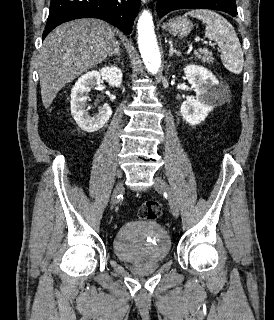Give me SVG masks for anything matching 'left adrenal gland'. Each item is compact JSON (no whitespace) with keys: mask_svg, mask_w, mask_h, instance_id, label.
Returning <instances> with one entry per match:
<instances>
[{"mask_svg":"<svg viewBox=\"0 0 274 320\" xmlns=\"http://www.w3.org/2000/svg\"><path fill=\"white\" fill-rule=\"evenodd\" d=\"M169 46V56H174V54H176V56H181L180 52H177L176 48H173L172 42H169Z\"/></svg>","mask_w":274,"mask_h":320,"instance_id":"1","label":"left adrenal gland"}]
</instances>
